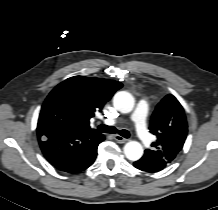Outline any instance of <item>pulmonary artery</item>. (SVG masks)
I'll list each match as a JSON object with an SVG mask.
<instances>
[{"instance_id": "pulmonary-artery-1", "label": "pulmonary artery", "mask_w": 218, "mask_h": 210, "mask_svg": "<svg viewBox=\"0 0 218 210\" xmlns=\"http://www.w3.org/2000/svg\"><path fill=\"white\" fill-rule=\"evenodd\" d=\"M147 112L148 102L143 99L138 103L135 113L132 117V120L135 123L137 135L145 145H149L151 143V137L146 127ZM107 123L109 125H113L116 123V121L108 120Z\"/></svg>"}]
</instances>
